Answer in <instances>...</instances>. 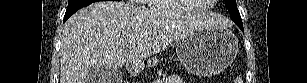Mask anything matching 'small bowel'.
<instances>
[{"mask_svg":"<svg viewBox=\"0 0 307 83\" xmlns=\"http://www.w3.org/2000/svg\"><path fill=\"white\" fill-rule=\"evenodd\" d=\"M184 81L177 75L167 77L162 83H183Z\"/></svg>","mask_w":307,"mask_h":83,"instance_id":"1","label":"small bowel"}]
</instances>
